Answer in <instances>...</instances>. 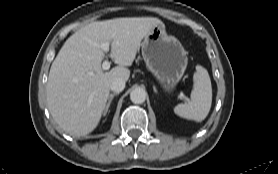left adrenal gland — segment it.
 <instances>
[{
	"instance_id": "obj_1",
	"label": "left adrenal gland",
	"mask_w": 278,
	"mask_h": 174,
	"mask_svg": "<svg viewBox=\"0 0 278 174\" xmlns=\"http://www.w3.org/2000/svg\"><path fill=\"white\" fill-rule=\"evenodd\" d=\"M153 90H154L155 93H157V90H156V87H155V86H153Z\"/></svg>"
}]
</instances>
